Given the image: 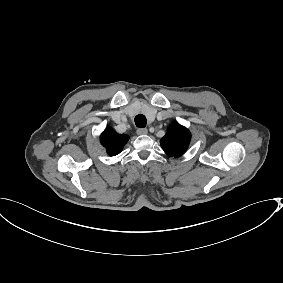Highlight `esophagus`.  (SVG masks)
I'll list each match as a JSON object with an SVG mask.
<instances>
[{
  "instance_id": "obj_1",
  "label": "esophagus",
  "mask_w": 283,
  "mask_h": 283,
  "mask_svg": "<svg viewBox=\"0 0 283 283\" xmlns=\"http://www.w3.org/2000/svg\"><path fill=\"white\" fill-rule=\"evenodd\" d=\"M148 133V130L145 128H141L137 130L138 135H146Z\"/></svg>"
}]
</instances>
